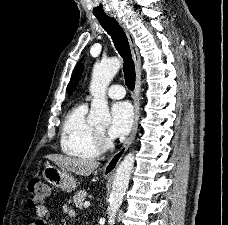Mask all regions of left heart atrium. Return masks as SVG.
<instances>
[{"mask_svg": "<svg viewBox=\"0 0 228 225\" xmlns=\"http://www.w3.org/2000/svg\"><path fill=\"white\" fill-rule=\"evenodd\" d=\"M134 113L128 102L115 103L110 110L109 135L113 138L126 136L132 127Z\"/></svg>", "mask_w": 228, "mask_h": 225, "instance_id": "obj_1", "label": "left heart atrium"}]
</instances>
